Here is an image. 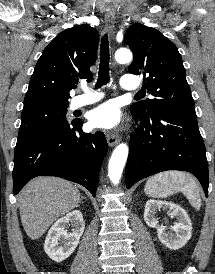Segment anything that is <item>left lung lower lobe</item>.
Instances as JSON below:
<instances>
[{
  "label": "left lung lower lobe",
  "mask_w": 215,
  "mask_h": 274,
  "mask_svg": "<svg viewBox=\"0 0 215 274\" xmlns=\"http://www.w3.org/2000/svg\"><path fill=\"white\" fill-rule=\"evenodd\" d=\"M132 115L140 124L131 134L127 188L158 172L182 170L194 174L208 196V162L197 118L165 111Z\"/></svg>",
  "instance_id": "1"
}]
</instances>
